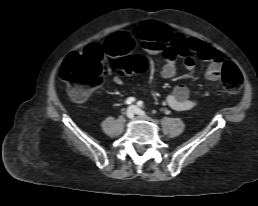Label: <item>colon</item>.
Segmentation results:
<instances>
[{"instance_id": "1", "label": "colon", "mask_w": 258, "mask_h": 206, "mask_svg": "<svg viewBox=\"0 0 258 206\" xmlns=\"http://www.w3.org/2000/svg\"><path fill=\"white\" fill-rule=\"evenodd\" d=\"M153 30L157 34L163 29L156 26ZM116 66L117 72L122 75H140L146 70L147 63L143 57L134 55L120 58ZM107 72L101 49L91 47L81 54L70 55L63 64L60 78L66 83L70 98L75 102H83L102 84ZM221 79L222 91L230 94L239 91L243 81L240 70L230 61L224 62Z\"/></svg>"}]
</instances>
